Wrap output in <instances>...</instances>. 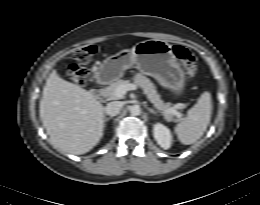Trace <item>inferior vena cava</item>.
Listing matches in <instances>:
<instances>
[{
	"mask_svg": "<svg viewBox=\"0 0 260 205\" xmlns=\"http://www.w3.org/2000/svg\"><path fill=\"white\" fill-rule=\"evenodd\" d=\"M121 108H122L121 102L113 101L107 104L105 108V112L107 115L116 116L117 114H119Z\"/></svg>",
	"mask_w": 260,
	"mask_h": 205,
	"instance_id": "602c4592",
	"label": "inferior vena cava"
}]
</instances>
